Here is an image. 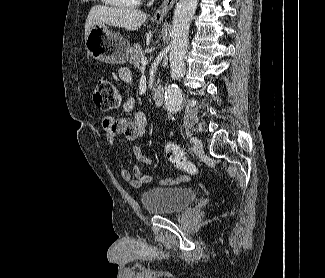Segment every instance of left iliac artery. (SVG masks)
I'll list each match as a JSON object with an SVG mask.
<instances>
[{"label":"left iliac artery","instance_id":"left-iliac-artery-1","mask_svg":"<svg viewBox=\"0 0 325 278\" xmlns=\"http://www.w3.org/2000/svg\"><path fill=\"white\" fill-rule=\"evenodd\" d=\"M191 143H196L197 142V138L195 137H192L191 140H190Z\"/></svg>","mask_w":325,"mask_h":278}]
</instances>
